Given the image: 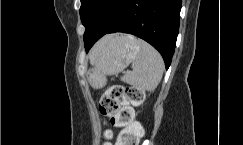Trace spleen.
<instances>
[{"mask_svg":"<svg viewBox=\"0 0 243 145\" xmlns=\"http://www.w3.org/2000/svg\"><path fill=\"white\" fill-rule=\"evenodd\" d=\"M140 52L132 62V71L121 80L142 90L153 91L160 83L164 71V62L154 47L138 40Z\"/></svg>","mask_w":243,"mask_h":145,"instance_id":"1","label":"spleen"}]
</instances>
